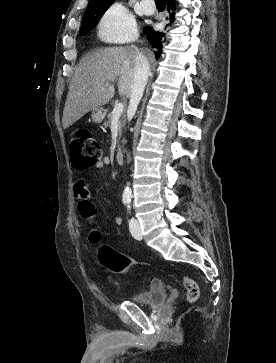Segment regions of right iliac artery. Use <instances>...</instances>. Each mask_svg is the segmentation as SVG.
Here are the masks:
<instances>
[{"label": "right iliac artery", "instance_id": "right-iliac-artery-1", "mask_svg": "<svg viewBox=\"0 0 276 363\" xmlns=\"http://www.w3.org/2000/svg\"><path fill=\"white\" fill-rule=\"evenodd\" d=\"M124 203H128V201H124Z\"/></svg>", "mask_w": 276, "mask_h": 363}]
</instances>
